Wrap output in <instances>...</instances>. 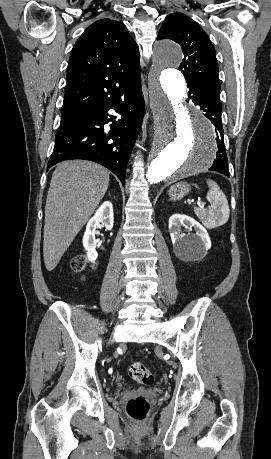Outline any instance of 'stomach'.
I'll return each instance as SVG.
<instances>
[{"label": "stomach", "instance_id": "1", "mask_svg": "<svg viewBox=\"0 0 271 459\" xmlns=\"http://www.w3.org/2000/svg\"><path fill=\"white\" fill-rule=\"evenodd\" d=\"M190 192L189 184H185V182H177V184H173L170 190H168V196L170 200L176 202V200H182L184 196H187Z\"/></svg>", "mask_w": 271, "mask_h": 459}]
</instances>
